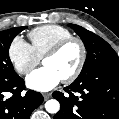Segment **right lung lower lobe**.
Masks as SVG:
<instances>
[{
    "instance_id": "98d812e1",
    "label": "right lung lower lobe",
    "mask_w": 119,
    "mask_h": 119,
    "mask_svg": "<svg viewBox=\"0 0 119 119\" xmlns=\"http://www.w3.org/2000/svg\"><path fill=\"white\" fill-rule=\"evenodd\" d=\"M24 89V80L17 74L0 77V119H29L32 111L43 102L41 93L33 90L22 96ZM7 92L12 94L8 99L4 96Z\"/></svg>"
}]
</instances>
